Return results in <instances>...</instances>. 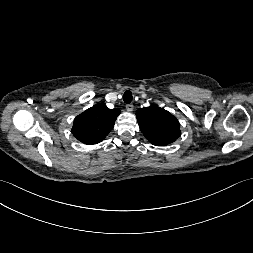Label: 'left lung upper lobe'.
Listing matches in <instances>:
<instances>
[{"label":"left lung upper lobe","instance_id":"5c2ea615","mask_svg":"<svg viewBox=\"0 0 253 253\" xmlns=\"http://www.w3.org/2000/svg\"><path fill=\"white\" fill-rule=\"evenodd\" d=\"M136 116L141 132L153 145H167L181 134L176 117L163 108L155 105L140 108Z\"/></svg>","mask_w":253,"mask_h":253}]
</instances>
